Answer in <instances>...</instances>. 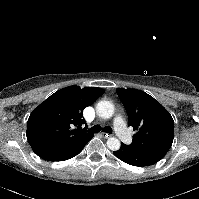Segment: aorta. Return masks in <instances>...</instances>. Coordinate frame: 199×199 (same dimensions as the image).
Wrapping results in <instances>:
<instances>
[{
	"mask_svg": "<svg viewBox=\"0 0 199 199\" xmlns=\"http://www.w3.org/2000/svg\"><path fill=\"white\" fill-rule=\"evenodd\" d=\"M97 115L101 118L108 119L114 114V105L109 101H100L96 105ZM120 141L115 137H110L107 140V147L112 151H117L120 148Z\"/></svg>",
	"mask_w": 199,
	"mask_h": 199,
	"instance_id": "obj_1",
	"label": "aorta"
}]
</instances>
